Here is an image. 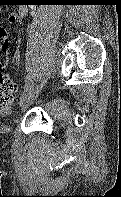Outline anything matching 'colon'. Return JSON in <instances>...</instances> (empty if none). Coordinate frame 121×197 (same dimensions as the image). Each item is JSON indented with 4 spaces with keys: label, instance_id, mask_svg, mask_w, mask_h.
<instances>
[{
    "label": "colon",
    "instance_id": "colon-1",
    "mask_svg": "<svg viewBox=\"0 0 121 197\" xmlns=\"http://www.w3.org/2000/svg\"><path fill=\"white\" fill-rule=\"evenodd\" d=\"M16 86L9 75L0 71V111H8L15 104Z\"/></svg>",
    "mask_w": 121,
    "mask_h": 197
}]
</instances>
